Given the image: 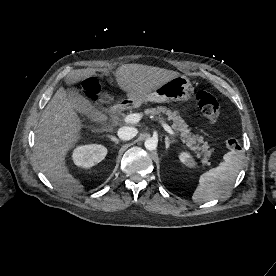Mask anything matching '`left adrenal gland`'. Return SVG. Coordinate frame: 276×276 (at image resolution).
Masks as SVG:
<instances>
[{"instance_id":"1","label":"left adrenal gland","mask_w":276,"mask_h":276,"mask_svg":"<svg viewBox=\"0 0 276 276\" xmlns=\"http://www.w3.org/2000/svg\"><path fill=\"white\" fill-rule=\"evenodd\" d=\"M175 142H176V140H170V139L168 138V136H165V145H166V149H167V150L169 149L170 144H173V143H175Z\"/></svg>"}]
</instances>
